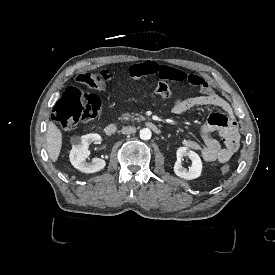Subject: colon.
<instances>
[{
    "label": "colon",
    "instance_id": "1",
    "mask_svg": "<svg viewBox=\"0 0 275 275\" xmlns=\"http://www.w3.org/2000/svg\"><path fill=\"white\" fill-rule=\"evenodd\" d=\"M77 83L83 86L91 84L93 92L104 94L107 86L103 84L102 72H77ZM152 97L157 100L168 99L173 96L170 85L163 80H156L151 85ZM101 101L93 93L83 92L75 87H68L63 95L56 100L53 107V118L63 130L77 128L81 123L98 117ZM229 165H222L220 171L227 174Z\"/></svg>",
    "mask_w": 275,
    "mask_h": 275
}]
</instances>
